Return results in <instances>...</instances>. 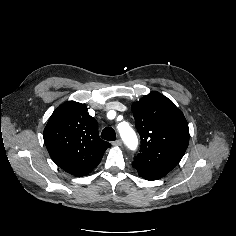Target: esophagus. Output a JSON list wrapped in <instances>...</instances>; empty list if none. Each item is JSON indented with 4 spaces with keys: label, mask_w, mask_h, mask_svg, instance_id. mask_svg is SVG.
I'll list each match as a JSON object with an SVG mask.
<instances>
[{
    "label": "esophagus",
    "mask_w": 236,
    "mask_h": 236,
    "mask_svg": "<svg viewBox=\"0 0 236 236\" xmlns=\"http://www.w3.org/2000/svg\"><path fill=\"white\" fill-rule=\"evenodd\" d=\"M113 146H121L122 145V141L120 139H117L115 141L112 142Z\"/></svg>",
    "instance_id": "esophagus-1"
}]
</instances>
